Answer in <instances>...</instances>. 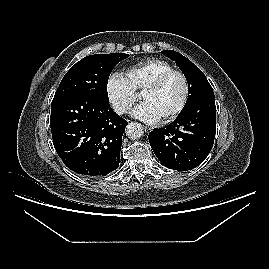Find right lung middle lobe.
<instances>
[{"instance_id":"dd1d6c3e","label":"right lung middle lobe","mask_w":269,"mask_h":269,"mask_svg":"<svg viewBox=\"0 0 269 269\" xmlns=\"http://www.w3.org/2000/svg\"><path fill=\"white\" fill-rule=\"evenodd\" d=\"M128 56L125 53H111L84 57L65 74L55 97L80 95L109 103V75L116 64Z\"/></svg>"}]
</instances>
